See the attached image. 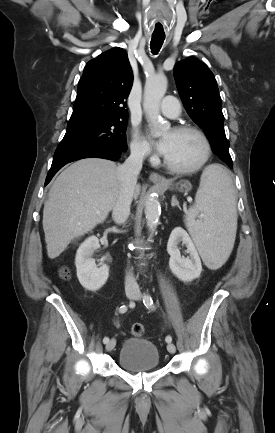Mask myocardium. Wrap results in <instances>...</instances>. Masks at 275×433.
<instances>
[{
	"mask_svg": "<svg viewBox=\"0 0 275 433\" xmlns=\"http://www.w3.org/2000/svg\"><path fill=\"white\" fill-rule=\"evenodd\" d=\"M173 131L177 133H192L198 136L204 145V155L196 165L187 168L174 166L166 159V157H164L163 158L164 166L169 171L180 175L194 174L200 171L207 164L212 154V145L206 133L195 126H190V125L176 126L173 129Z\"/></svg>",
	"mask_w": 275,
	"mask_h": 433,
	"instance_id": "f54148a6",
	"label": "myocardium"
}]
</instances>
